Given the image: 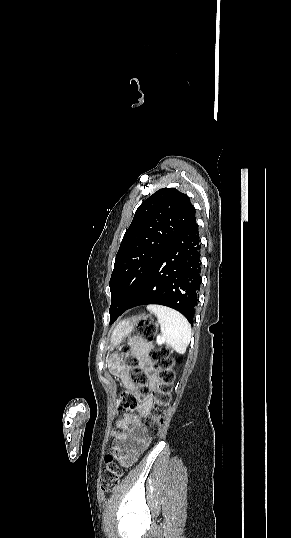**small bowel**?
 I'll list each match as a JSON object with an SVG mask.
<instances>
[{
  "label": "small bowel",
  "instance_id": "1",
  "mask_svg": "<svg viewBox=\"0 0 291 538\" xmlns=\"http://www.w3.org/2000/svg\"><path fill=\"white\" fill-rule=\"evenodd\" d=\"M134 349L140 354L141 344L135 342ZM122 358L115 354L109 360L107 367L110 376H118L121 378L124 387L128 390H134L133 384L128 379L125 372L121 370L120 363ZM157 383L155 373L151 371V386L154 387ZM152 400L147 397L141 404L137 406L138 414L130 413L118 420L115 428L111 431L114 438L113 451L119 456L120 463L124 467H130L136 462L141 453H143L151 442V438L146 434L140 420V416H145L149 413Z\"/></svg>",
  "mask_w": 291,
  "mask_h": 538
}]
</instances>
